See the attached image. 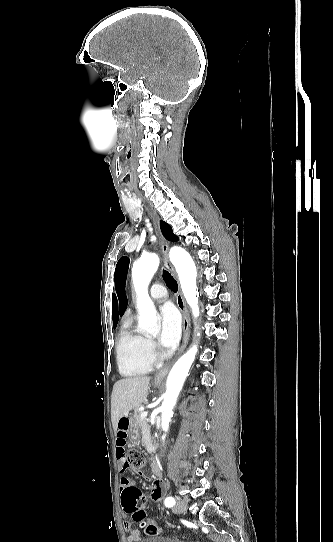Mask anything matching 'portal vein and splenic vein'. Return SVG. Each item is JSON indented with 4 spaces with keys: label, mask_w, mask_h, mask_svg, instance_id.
Here are the masks:
<instances>
[{
    "label": "portal vein and splenic vein",
    "mask_w": 333,
    "mask_h": 542,
    "mask_svg": "<svg viewBox=\"0 0 333 542\" xmlns=\"http://www.w3.org/2000/svg\"><path fill=\"white\" fill-rule=\"evenodd\" d=\"M147 416H148V412H142V414H141L142 420H145V418H147Z\"/></svg>",
    "instance_id": "obj_1"
}]
</instances>
